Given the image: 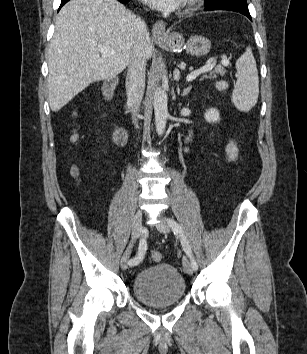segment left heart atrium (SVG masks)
Instances as JSON below:
<instances>
[{
	"label": "left heart atrium",
	"instance_id": "1",
	"mask_svg": "<svg viewBox=\"0 0 307 354\" xmlns=\"http://www.w3.org/2000/svg\"><path fill=\"white\" fill-rule=\"evenodd\" d=\"M144 1L159 10L172 11L182 6L185 0H144Z\"/></svg>",
	"mask_w": 307,
	"mask_h": 354
}]
</instances>
